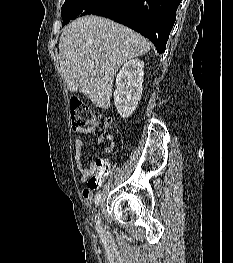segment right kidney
<instances>
[{"label":"right kidney","mask_w":233,"mask_h":263,"mask_svg":"<svg viewBox=\"0 0 233 263\" xmlns=\"http://www.w3.org/2000/svg\"><path fill=\"white\" fill-rule=\"evenodd\" d=\"M144 62L133 58L127 61L116 77L115 107L121 117H129L136 109L142 95Z\"/></svg>","instance_id":"right-kidney-1"}]
</instances>
